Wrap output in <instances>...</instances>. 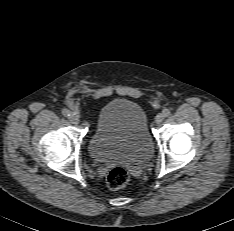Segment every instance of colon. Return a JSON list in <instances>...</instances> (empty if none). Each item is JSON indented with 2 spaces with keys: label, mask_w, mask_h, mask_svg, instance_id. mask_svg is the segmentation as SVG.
<instances>
[{
  "label": "colon",
  "mask_w": 234,
  "mask_h": 231,
  "mask_svg": "<svg viewBox=\"0 0 234 231\" xmlns=\"http://www.w3.org/2000/svg\"><path fill=\"white\" fill-rule=\"evenodd\" d=\"M129 180V174L127 170L121 167L112 169L107 176V185L112 190H118L123 188Z\"/></svg>",
  "instance_id": "1"
}]
</instances>
